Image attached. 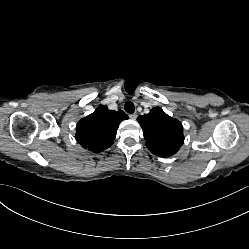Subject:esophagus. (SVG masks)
Listing matches in <instances>:
<instances>
[{"mask_svg":"<svg viewBox=\"0 0 249 249\" xmlns=\"http://www.w3.org/2000/svg\"><path fill=\"white\" fill-rule=\"evenodd\" d=\"M129 117H130L132 120H135V119L137 118V114H136V113L130 114Z\"/></svg>","mask_w":249,"mask_h":249,"instance_id":"obj_1","label":"esophagus"}]
</instances>
